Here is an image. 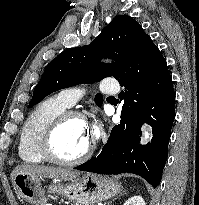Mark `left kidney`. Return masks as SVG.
Returning a JSON list of instances; mask_svg holds the SVG:
<instances>
[{
  "mask_svg": "<svg viewBox=\"0 0 199 205\" xmlns=\"http://www.w3.org/2000/svg\"><path fill=\"white\" fill-rule=\"evenodd\" d=\"M123 205H146L141 196H133L129 198Z\"/></svg>",
  "mask_w": 199,
  "mask_h": 205,
  "instance_id": "5707ae66",
  "label": "left kidney"
}]
</instances>
